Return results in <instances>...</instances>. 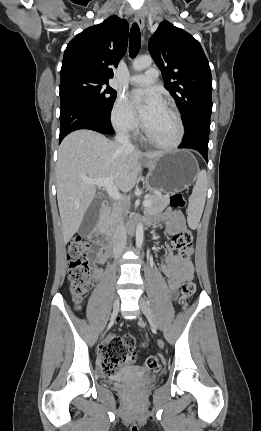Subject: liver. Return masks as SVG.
I'll list each match as a JSON object with an SVG mask.
<instances>
[{
    "label": "liver",
    "instance_id": "1",
    "mask_svg": "<svg viewBox=\"0 0 261 431\" xmlns=\"http://www.w3.org/2000/svg\"><path fill=\"white\" fill-rule=\"evenodd\" d=\"M162 152L127 149L91 130H77L62 141L56 168V187L64 243L77 233L96 196V185L85 179L113 178L122 191H130L141 171L140 159L153 160Z\"/></svg>",
    "mask_w": 261,
    "mask_h": 431
}]
</instances>
